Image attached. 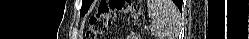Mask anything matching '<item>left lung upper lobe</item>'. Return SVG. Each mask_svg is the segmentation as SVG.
I'll use <instances>...</instances> for the list:
<instances>
[{
	"mask_svg": "<svg viewBox=\"0 0 249 39\" xmlns=\"http://www.w3.org/2000/svg\"><path fill=\"white\" fill-rule=\"evenodd\" d=\"M92 3V0H83L82 8H81V14L84 15L85 12L88 10Z\"/></svg>",
	"mask_w": 249,
	"mask_h": 39,
	"instance_id": "obj_1",
	"label": "left lung upper lobe"
}]
</instances>
